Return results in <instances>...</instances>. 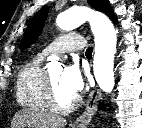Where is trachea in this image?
Here are the masks:
<instances>
[{"label": "trachea", "instance_id": "trachea-1", "mask_svg": "<svg viewBox=\"0 0 142 128\" xmlns=\"http://www.w3.org/2000/svg\"><path fill=\"white\" fill-rule=\"evenodd\" d=\"M92 51H93V48H92V47L88 48V49L86 50V56H90V57H91Z\"/></svg>", "mask_w": 142, "mask_h": 128}]
</instances>
